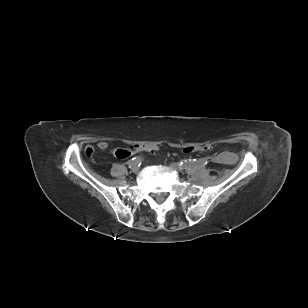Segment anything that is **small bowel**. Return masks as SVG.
Instances as JSON below:
<instances>
[{"label": "small bowel", "instance_id": "1", "mask_svg": "<svg viewBox=\"0 0 308 308\" xmlns=\"http://www.w3.org/2000/svg\"><path fill=\"white\" fill-rule=\"evenodd\" d=\"M134 145H135V144H134ZM134 145H133V146H134ZM97 147H98L99 149H101V150H105V149L108 148V143L105 142V141H100V142H98ZM222 156H223V155L216 156V157H214V160H215V161H221Z\"/></svg>", "mask_w": 308, "mask_h": 308}]
</instances>
